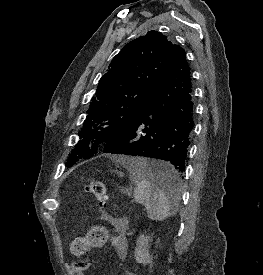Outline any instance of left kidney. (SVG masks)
I'll list each match as a JSON object with an SVG mask.
<instances>
[{"label": "left kidney", "instance_id": "5707ae66", "mask_svg": "<svg viewBox=\"0 0 263 275\" xmlns=\"http://www.w3.org/2000/svg\"><path fill=\"white\" fill-rule=\"evenodd\" d=\"M152 238L141 234L136 241V248L134 252V257L136 262L142 264H149L152 262V258L149 254L150 242Z\"/></svg>", "mask_w": 263, "mask_h": 275}]
</instances>
